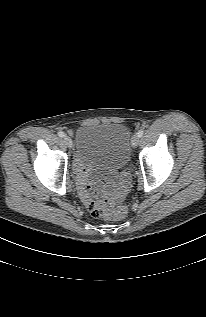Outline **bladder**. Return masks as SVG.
Returning a JSON list of instances; mask_svg holds the SVG:
<instances>
[{"label": "bladder", "mask_w": 206, "mask_h": 317, "mask_svg": "<svg viewBox=\"0 0 206 317\" xmlns=\"http://www.w3.org/2000/svg\"><path fill=\"white\" fill-rule=\"evenodd\" d=\"M131 133L121 123L84 124L75 134L77 153L102 176L124 168L130 161Z\"/></svg>", "instance_id": "31cf9c89"}]
</instances>
